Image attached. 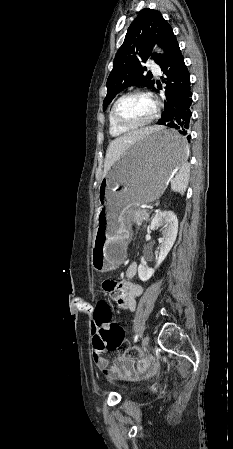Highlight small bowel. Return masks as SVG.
<instances>
[{
	"label": "small bowel",
	"instance_id": "c3829d8e",
	"mask_svg": "<svg viewBox=\"0 0 233 449\" xmlns=\"http://www.w3.org/2000/svg\"><path fill=\"white\" fill-rule=\"evenodd\" d=\"M136 272L137 264L131 263L125 270L124 275L119 282L116 278H104L102 280V290L105 291V294L107 296H111L113 301L130 312H134L136 310V299L142 294L143 291L139 284L133 282ZM94 335L95 334H93V339ZM93 359L96 367L110 379L124 377L132 371L131 359L123 353L114 359L112 366H109V360L104 356V351L100 349L93 350ZM149 359L150 360L147 364L152 368L155 366V362L158 358L153 354ZM140 373L145 377L149 372L144 368Z\"/></svg>",
	"mask_w": 233,
	"mask_h": 449
}]
</instances>
